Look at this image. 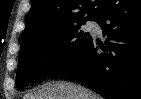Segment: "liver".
<instances>
[{
	"label": "liver",
	"mask_w": 141,
	"mask_h": 99,
	"mask_svg": "<svg viewBox=\"0 0 141 99\" xmlns=\"http://www.w3.org/2000/svg\"><path fill=\"white\" fill-rule=\"evenodd\" d=\"M24 99H102L99 95L70 82H55L41 86Z\"/></svg>",
	"instance_id": "liver-1"
}]
</instances>
